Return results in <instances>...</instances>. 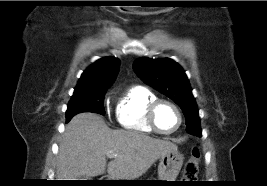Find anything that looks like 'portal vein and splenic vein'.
Instances as JSON below:
<instances>
[{"label":"portal vein and splenic vein","mask_w":267,"mask_h":186,"mask_svg":"<svg viewBox=\"0 0 267 186\" xmlns=\"http://www.w3.org/2000/svg\"><path fill=\"white\" fill-rule=\"evenodd\" d=\"M106 156H107L108 158H114V157L117 156V154L114 153V152H107V153H106Z\"/></svg>","instance_id":"obj_1"}]
</instances>
